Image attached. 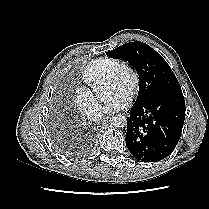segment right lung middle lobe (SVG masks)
<instances>
[{
  "mask_svg": "<svg viewBox=\"0 0 209 209\" xmlns=\"http://www.w3.org/2000/svg\"><path fill=\"white\" fill-rule=\"evenodd\" d=\"M55 144L65 154H77L82 151V148H80L79 146L75 147L67 139L56 138Z\"/></svg>",
  "mask_w": 209,
  "mask_h": 209,
  "instance_id": "right-lung-middle-lobe-1",
  "label": "right lung middle lobe"
}]
</instances>
